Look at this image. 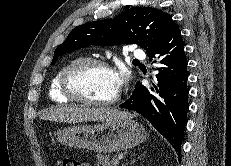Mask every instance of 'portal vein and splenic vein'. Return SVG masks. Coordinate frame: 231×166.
<instances>
[{
  "label": "portal vein and splenic vein",
  "mask_w": 231,
  "mask_h": 166,
  "mask_svg": "<svg viewBox=\"0 0 231 166\" xmlns=\"http://www.w3.org/2000/svg\"><path fill=\"white\" fill-rule=\"evenodd\" d=\"M121 159H122V157H117V158L114 159V161H116V162L119 163V161H120Z\"/></svg>",
  "instance_id": "obj_1"
}]
</instances>
